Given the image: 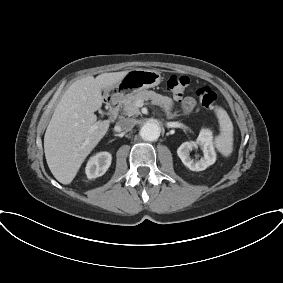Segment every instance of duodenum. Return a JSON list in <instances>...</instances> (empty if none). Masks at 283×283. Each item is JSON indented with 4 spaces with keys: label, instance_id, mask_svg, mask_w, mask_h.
I'll return each mask as SVG.
<instances>
[{
    "label": "duodenum",
    "instance_id": "1",
    "mask_svg": "<svg viewBox=\"0 0 283 283\" xmlns=\"http://www.w3.org/2000/svg\"><path fill=\"white\" fill-rule=\"evenodd\" d=\"M120 97L118 95L109 96L106 100V105L109 108L110 119H115L119 113Z\"/></svg>",
    "mask_w": 283,
    "mask_h": 283
}]
</instances>
